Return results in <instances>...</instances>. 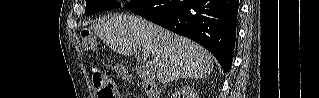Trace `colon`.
I'll return each mask as SVG.
<instances>
[{
  "label": "colon",
  "mask_w": 319,
  "mask_h": 98,
  "mask_svg": "<svg viewBox=\"0 0 319 98\" xmlns=\"http://www.w3.org/2000/svg\"><path fill=\"white\" fill-rule=\"evenodd\" d=\"M82 44L86 50L92 51L96 49V40L89 29H84L81 32ZM116 70L119 74L124 75V70L117 66ZM94 86L97 89L99 98H118L119 95L114 87L110 77L95 72L93 75Z\"/></svg>",
  "instance_id": "5ec220e1"
}]
</instances>
